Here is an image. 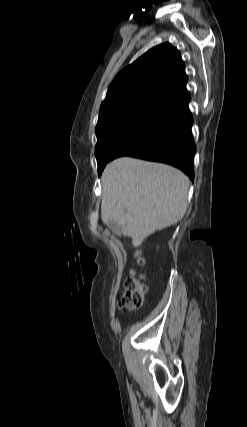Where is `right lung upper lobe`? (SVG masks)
I'll list each match as a JSON object with an SVG mask.
<instances>
[{"label": "right lung upper lobe", "instance_id": "cb5924a9", "mask_svg": "<svg viewBox=\"0 0 247 427\" xmlns=\"http://www.w3.org/2000/svg\"><path fill=\"white\" fill-rule=\"evenodd\" d=\"M186 83L179 51L169 43L161 44L117 74L101 104L99 117L134 107L156 109L187 91Z\"/></svg>", "mask_w": 247, "mask_h": 427}]
</instances>
